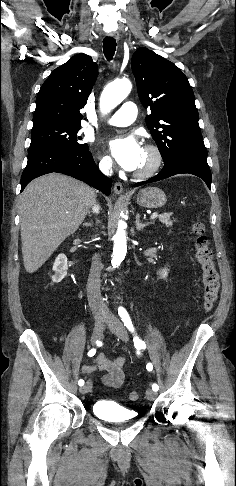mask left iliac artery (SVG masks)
Returning a JSON list of instances; mask_svg holds the SVG:
<instances>
[{
    "instance_id": "obj_1",
    "label": "left iliac artery",
    "mask_w": 236,
    "mask_h": 486,
    "mask_svg": "<svg viewBox=\"0 0 236 486\" xmlns=\"http://www.w3.org/2000/svg\"><path fill=\"white\" fill-rule=\"evenodd\" d=\"M118 314L121 317V320L123 321L124 325L128 328L129 331H131L133 333L134 327H133L131 318H130L128 312L126 311V309L123 308V307H119L118 308ZM133 341H134V345H135L136 348H141V349L146 348L145 342L142 341L141 339H139L137 336L134 337ZM146 368H147L148 371H151L153 369V365L151 363H148ZM152 389L154 391H158L159 387L156 383H154L152 385Z\"/></svg>"
}]
</instances>
